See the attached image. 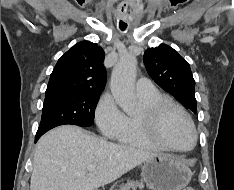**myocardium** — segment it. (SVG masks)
Returning a JSON list of instances; mask_svg holds the SVG:
<instances>
[{"instance_id": "myocardium-1", "label": "myocardium", "mask_w": 234, "mask_h": 190, "mask_svg": "<svg viewBox=\"0 0 234 190\" xmlns=\"http://www.w3.org/2000/svg\"><path fill=\"white\" fill-rule=\"evenodd\" d=\"M170 110L179 112L186 119L191 128L193 139L192 143L186 148H179L169 144L161 134L163 118ZM140 120L144 124L149 136L164 149L177 152H186L191 150L197 142V130L191 116L181 105L171 99H160L151 104L149 107L143 109L140 112Z\"/></svg>"}]
</instances>
